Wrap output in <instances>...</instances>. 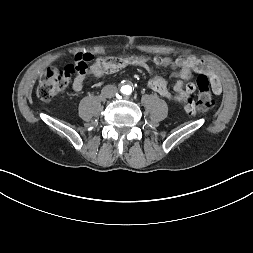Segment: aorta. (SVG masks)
Returning a JSON list of instances; mask_svg holds the SVG:
<instances>
[{"label":"aorta","mask_w":253,"mask_h":253,"mask_svg":"<svg viewBox=\"0 0 253 253\" xmlns=\"http://www.w3.org/2000/svg\"><path fill=\"white\" fill-rule=\"evenodd\" d=\"M130 89H131L130 86H123V87H122V91H123V92H129Z\"/></svg>","instance_id":"aorta-1"}]
</instances>
